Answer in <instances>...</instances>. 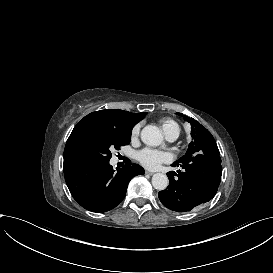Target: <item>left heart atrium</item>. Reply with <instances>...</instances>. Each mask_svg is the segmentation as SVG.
I'll use <instances>...</instances> for the list:
<instances>
[{
	"instance_id": "39dd6f15",
	"label": "left heart atrium",
	"mask_w": 273,
	"mask_h": 273,
	"mask_svg": "<svg viewBox=\"0 0 273 273\" xmlns=\"http://www.w3.org/2000/svg\"><path fill=\"white\" fill-rule=\"evenodd\" d=\"M166 158L167 155L165 153L150 148H144L138 154L140 163L149 168L157 167Z\"/></svg>"
}]
</instances>
